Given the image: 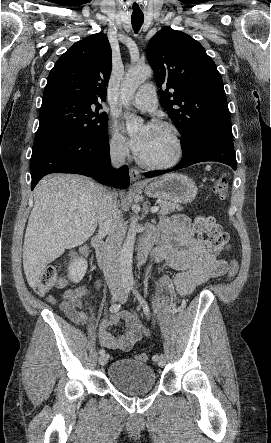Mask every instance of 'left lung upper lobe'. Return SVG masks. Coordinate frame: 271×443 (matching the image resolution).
Here are the masks:
<instances>
[{
    "mask_svg": "<svg viewBox=\"0 0 271 443\" xmlns=\"http://www.w3.org/2000/svg\"><path fill=\"white\" fill-rule=\"evenodd\" d=\"M147 59L158 87L167 86L160 89L161 105L180 132L182 146L206 127L231 128L221 75L198 41L164 27L150 39Z\"/></svg>",
    "mask_w": 271,
    "mask_h": 443,
    "instance_id": "obj_1",
    "label": "left lung upper lobe"
}]
</instances>
